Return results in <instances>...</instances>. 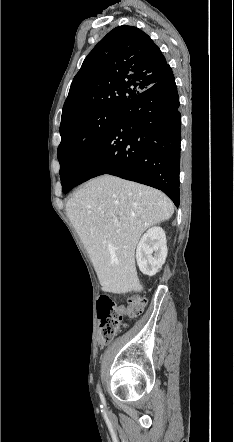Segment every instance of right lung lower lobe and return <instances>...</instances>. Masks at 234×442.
I'll list each match as a JSON object with an SVG mask.
<instances>
[{"label":"right lung lower lobe","mask_w":234,"mask_h":442,"mask_svg":"<svg viewBox=\"0 0 234 442\" xmlns=\"http://www.w3.org/2000/svg\"><path fill=\"white\" fill-rule=\"evenodd\" d=\"M170 66L123 106L107 135L71 169L64 191L102 174L157 188L179 206L181 116Z\"/></svg>","instance_id":"right-lung-lower-lobe-1"}]
</instances>
